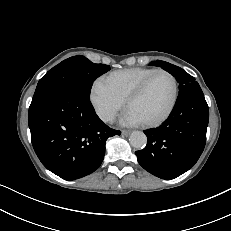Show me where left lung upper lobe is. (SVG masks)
<instances>
[{
  "label": "left lung upper lobe",
  "instance_id": "5c2ea615",
  "mask_svg": "<svg viewBox=\"0 0 231 231\" xmlns=\"http://www.w3.org/2000/svg\"><path fill=\"white\" fill-rule=\"evenodd\" d=\"M150 65L161 67L170 74H172L176 78L177 82L180 84L179 91L182 90L183 85L195 81V78L189 75L186 71L168 62L157 60L151 62Z\"/></svg>",
  "mask_w": 231,
  "mask_h": 231
}]
</instances>
